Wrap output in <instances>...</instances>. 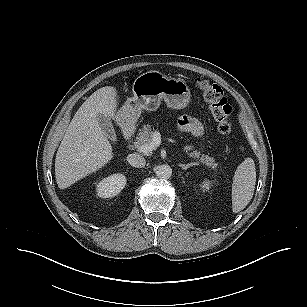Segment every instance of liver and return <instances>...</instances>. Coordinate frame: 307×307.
<instances>
[{
	"label": "liver",
	"mask_w": 307,
	"mask_h": 307,
	"mask_svg": "<svg viewBox=\"0 0 307 307\" xmlns=\"http://www.w3.org/2000/svg\"><path fill=\"white\" fill-rule=\"evenodd\" d=\"M116 99V88L102 87L74 115L55 159V177L60 189L96 172L113 158L112 146L99 126L97 114H104L123 127Z\"/></svg>",
	"instance_id": "6515ba94"
}]
</instances>
